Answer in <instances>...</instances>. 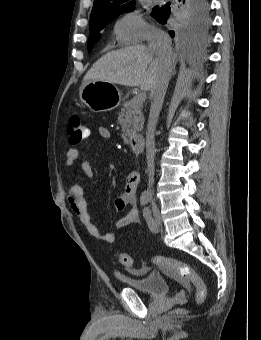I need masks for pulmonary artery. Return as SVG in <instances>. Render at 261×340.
<instances>
[{
    "label": "pulmonary artery",
    "mask_w": 261,
    "mask_h": 340,
    "mask_svg": "<svg viewBox=\"0 0 261 340\" xmlns=\"http://www.w3.org/2000/svg\"><path fill=\"white\" fill-rule=\"evenodd\" d=\"M155 3H159L161 0H153Z\"/></svg>",
    "instance_id": "e3ab8cb5"
}]
</instances>
